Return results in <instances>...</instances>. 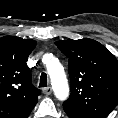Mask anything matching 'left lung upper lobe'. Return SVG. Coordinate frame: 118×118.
Listing matches in <instances>:
<instances>
[{
    "instance_id": "1",
    "label": "left lung upper lobe",
    "mask_w": 118,
    "mask_h": 118,
    "mask_svg": "<svg viewBox=\"0 0 118 118\" xmlns=\"http://www.w3.org/2000/svg\"><path fill=\"white\" fill-rule=\"evenodd\" d=\"M68 57L70 97L63 108L70 118H106L118 104V61L92 39L55 42Z\"/></svg>"
}]
</instances>
